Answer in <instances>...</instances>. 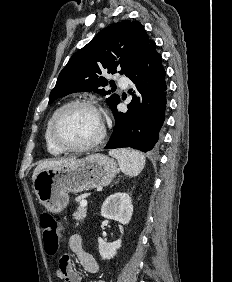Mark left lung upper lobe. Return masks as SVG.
<instances>
[{
	"instance_id": "1",
	"label": "left lung upper lobe",
	"mask_w": 232,
	"mask_h": 282,
	"mask_svg": "<svg viewBox=\"0 0 232 282\" xmlns=\"http://www.w3.org/2000/svg\"><path fill=\"white\" fill-rule=\"evenodd\" d=\"M140 22L122 21L103 29L90 43L75 53L62 69L50 93L49 103L76 92L108 95L102 87L108 82L102 72L127 75L141 60L149 43ZM120 100L113 94L106 99L112 108Z\"/></svg>"
}]
</instances>
